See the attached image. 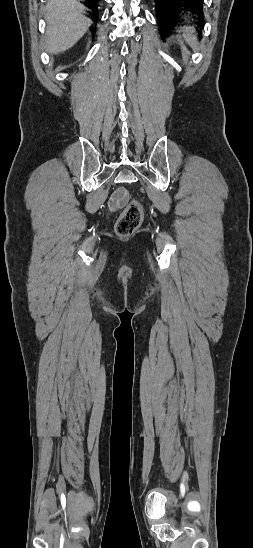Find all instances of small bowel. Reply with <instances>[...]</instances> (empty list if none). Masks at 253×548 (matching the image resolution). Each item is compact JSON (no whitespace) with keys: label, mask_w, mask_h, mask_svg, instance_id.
<instances>
[{"label":"small bowel","mask_w":253,"mask_h":548,"mask_svg":"<svg viewBox=\"0 0 253 548\" xmlns=\"http://www.w3.org/2000/svg\"><path fill=\"white\" fill-rule=\"evenodd\" d=\"M128 193L127 190L123 187L117 188L109 200V208L111 211H117L121 209L127 202Z\"/></svg>","instance_id":"small-bowel-1"}]
</instances>
